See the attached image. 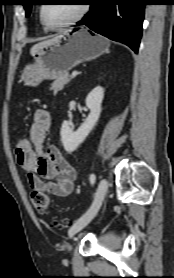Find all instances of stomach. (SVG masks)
<instances>
[{
    "mask_svg": "<svg viewBox=\"0 0 174 278\" xmlns=\"http://www.w3.org/2000/svg\"><path fill=\"white\" fill-rule=\"evenodd\" d=\"M108 48L105 37L85 27L65 32L32 54L33 63L24 67L21 80L27 86H37L43 80L56 79L80 63L99 57Z\"/></svg>",
    "mask_w": 174,
    "mask_h": 278,
    "instance_id": "1",
    "label": "stomach"
}]
</instances>
